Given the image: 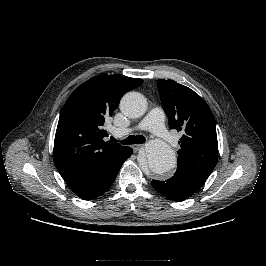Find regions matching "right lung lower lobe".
I'll return each instance as SVG.
<instances>
[{"label":"right lung lower lobe","instance_id":"right-lung-lower-lobe-1","mask_svg":"<svg viewBox=\"0 0 266 266\" xmlns=\"http://www.w3.org/2000/svg\"><path fill=\"white\" fill-rule=\"evenodd\" d=\"M133 153L130 147L117 156L100 161L75 173L63 175L68 187L81 199L91 200L105 193L115 181L117 174L127 158Z\"/></svg>","mask_w":266,"mask_h":266}]
</instances>
